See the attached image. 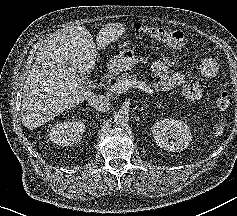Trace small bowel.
Wrapping results in <instances>:
<instances>
[{
	"mask_svg": "<svg viewBox=\"0 0 237 216\" xmlns=\"http://www.w3.org/2000/svg\"><path fill=\"white\" fill-rule=\"evenodd\" d=\"M151 70L159 78L157 83L159 89L166 91L180 88L182 93L191 100L202 96L203 88L198 81L188 80L182 73L171 72L163 62H153ZM199 71L205 77H214L218 72V66L214 60L205 58L199 63Z\"/></svg>",
	"mask_w": 237,
	"mask_h": 216,
	"instance_id": "c3829d8e",
	"label": "small bowel"
}]
</instances>
